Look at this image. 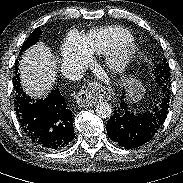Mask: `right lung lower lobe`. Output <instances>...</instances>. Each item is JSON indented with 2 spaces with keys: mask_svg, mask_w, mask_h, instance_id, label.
<instances>
[{
  "mask_svg": "<svg viewBox=\"0 0 183 183\" xmlns=\"http://www.w3.org/2000/svg\"><path fill=\"white\" fill-rule=\"evenodd\" d=\"M14 104L19 123L28 139L46 150L65 148L74 138L73 113L59 89L46 99L32 100L14 77Z\"/></svg>",
  "mask_w": 183,
  "mask_h": 183,
  "instance_id": "right-lung-lower-lobe-1",
  "label": "right lung lower lobe"
}]
</instances>
